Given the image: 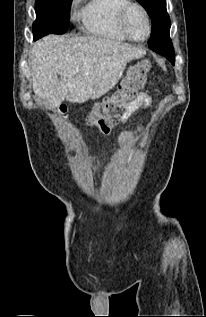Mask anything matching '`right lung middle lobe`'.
<instances>
[{
    "label": "right lung middle lobe",
    "instance_id": "1",
    "mask_svg": "<svg viewBox=\"0 0 206 317\" xmlns=\"http://www.w3.org/2000/svg\"><path fill=\"white\" fill-rule=\"evenodd\" d=\"M72 0H36L34 40L50 33L63 34L68 30Z\"/></svg>",
    "mask_w": 206,
    "mask_h": 317
}]
</instances>
